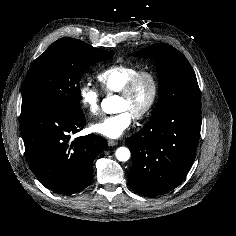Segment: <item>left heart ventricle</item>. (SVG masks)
Wrapping results in <instances>:
<instances>
[{
  "label": "left heart ventricle",
  "mask_w": 236,
  "mask_h": 236,
  "mask_svg": "<svg viewBox=\"0 0 236 236\" xmlns=\"http://www.w3.org/2000/svg\"><path fill=\"white\" fill-rule=\"evenodd\" d=\"M151 93V85L148 79L143 78L136 86L134 92L128 98L118 97L117 111L126 110L132 115L143 109L147 104Z\"/></svg>",
  "instance_id": "left-heart-ventricle-1"
}]
</instances>
